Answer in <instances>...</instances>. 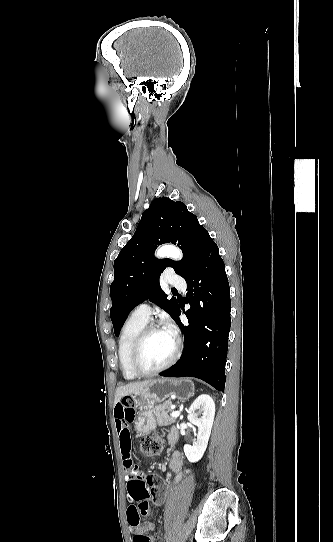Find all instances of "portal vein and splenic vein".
<instances>
[{
  "mask_svg": "<svg viewBox=\"0 0 333 542\" xmlns=\"http://www.w3.org/2000/svg\"><path fill=\"white\" fill-rule=\"evenodd\" d=\"M171 418H178V416H180V412H172V414H170Z\"/></svg>",
  "mask_w": 333,
  "mask_h": 542,
  "instance_id": "portal-vein-and-splenic-vein-1",
  "label": "portal vein and splenic vein"
}]
</instances>
